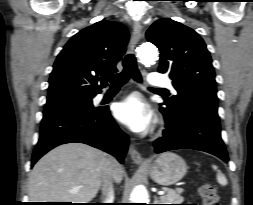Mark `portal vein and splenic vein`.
Listing matches in <instances>:
<instances>
[{
  "label": "portal vein and splenic vein",
  "instance_id": "portal-vein-and-splenic-vein-1",
  "mask_svg": "<svg viewBox=\"0 0 253 205\" xmlns=\"http://www.w3.org/2000/svg\"><path fill=\"white\" fill-rule=\"evenodd\" d=\"M79 189V187H75L73 190L77 191ZM165 191H158V195H164Z\"/></svg>",
  "mask_w": 253,
  "mask_h": 205
}]
</instances>
